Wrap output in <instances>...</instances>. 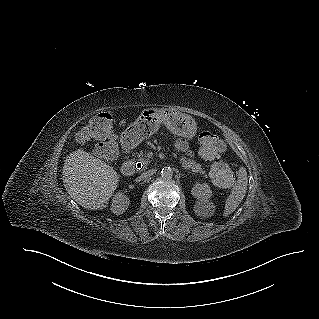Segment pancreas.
Listing matches in <instances>:
<instances>
[{"mask_svg":"<svg viewBox=\"0 0 319 319\" xmlns=\"http://www.w3.org/2000/svg\"><path fill=\"white\" fill-rule=\"evenodd\" d=\"M140 163H142L143 168H147L149 163L151 162L150 157L148 155H139L136 159ZM180 163L182 164V167L188 170H191L192 172L195 173H200L204 175L205 178H207V175L205 174V170L201 168V165L196 163L194 160L181 157L180 158Z\"/></svg>","mask_w":319,"mask_h":319,"instance_id":"cf45deb5","label":"pancreas"}]
</instances>
